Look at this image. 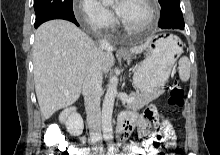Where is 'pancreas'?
<instances>
[{
  "mask_svg": "<svg viewBox=\"0 0 220 155\" xmlns=\"http://www.w3.org/2000/svg\"><path fill=\"white\" fill-rule=\"evenodd\" d=\"M163 93V90L159 91L157 94H143L142 92H137L133 94L134 100L131 103H128L127 109L137 111L140 110L145 105L149 104L153 100H155L159 95Z\"/></svg>",
  "mask_w": 220,
  "mask_h": 155,
  "instance_id": "obj_1",
  "label": "pancreas"
}]
</instances>
